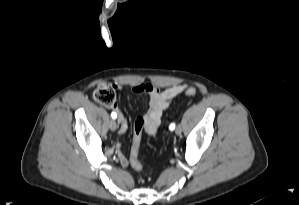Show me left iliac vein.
Listing matches in <instances>:
<instances>
[{"label": "left iliac vein", "instance_id": "obj_1", "mask_svg": "<svg viewBox=\"0 0 299 205\" xmlns=\"http://www.w3.org/2000/svg\"><path fill=\"white\" fill-rule=\"evenodd\" d=\"M181 132H182V128H181V126H178V127L176 128V130H175V133H176L177 135H180Z\"/></svg>", "mask_w": 299, "mask_h": 205}]
</instances>
